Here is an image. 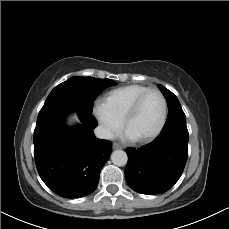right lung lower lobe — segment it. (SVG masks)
<instances>
[{
  "mask_svg": "<svg viewBox=\"0 0 229 229\" xmlns=\"http://www.w3.org/2000/svg\"><path fill=\"white\" fill-rule=\"evenodd\" d=\"M73 111L82 125L68 128L64 120ZM96 125L91 112L80 109L62 107L39 112L33 140L35 163L43 182L59 196L79 198L97 187L112 144L94 136Z\"/></svg>",
  "mask_w": 229,
  "mask_h": 229,
  "instance_id": "obj_1",
  "label": "right lung lower lobe"
}]
</instances>
